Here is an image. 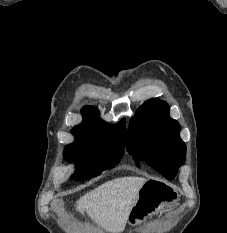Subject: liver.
<instances>
[{
    "mask_svg": "<svg viewBox=\"0 0 227 233\" xmlns=\"http://www.w3.org/2000/svg\"><path fill=\"white\" fill-rule=\"evenodd\" d=\"M147 179L138 176L120 177L98 186L82 196L76 204L80 213L89 217L109 233L123 232L139 190Z\"/></svg>",
    "mask_w": 227,
    "mask_h": 233,
    "instance_id": "obj_1",
    "label": "liver"
}]
</instances>
